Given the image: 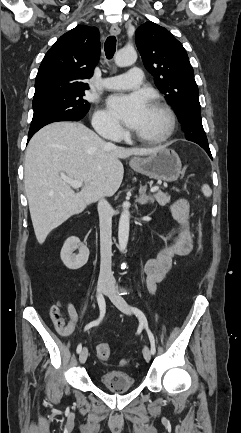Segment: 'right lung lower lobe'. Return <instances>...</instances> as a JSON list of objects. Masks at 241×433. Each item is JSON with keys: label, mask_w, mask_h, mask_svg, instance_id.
<instances>
[{"label": "right lung lower lobe", "mask_w": 241, "mask_h": 433, "mask_svg": "<svg viewBox=\"0 0 241 433\" xmlns=\"http://www.w3.org/2000/svg\"><path fill=\"white\" fill-rule=\"evenodd\" d=\"M70 120H73V121H78V120H80V119H63V120H60V121H70ZM37 132V131H36ZM36 132H33V133H29V135H28V141L30 140V138L36 133Z\"/></svg>", "instance_id": "obj_1"}]
</instances>
